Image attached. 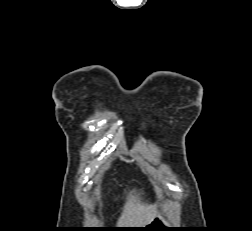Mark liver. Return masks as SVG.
I'll return each mask as SVG.
<instances>
[{
	"label": "liver",
	"instance_id": "1",
	"mask_svg": "<svg viewBox=\"0 0 252 231\" xmlns=\"http://www.w3.org/2000/svg\"><path fill=\"white\" fill-rule=\"evenodd\" d=\"M157 216L156 205L141 202L135 190L127 196L122 214L117 221L118 228H142Z\"/></svg>",
	"mask_w": 252,
	"mask_h": 231
}]
</instances>
